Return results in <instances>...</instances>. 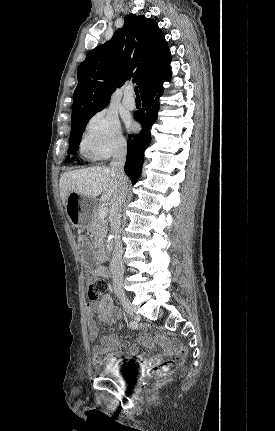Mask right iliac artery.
<instances>
[{
  "label": "right iliac artery",
  "instance_id": "82829eb1",
  "mask_svg": "<svg viewBox=\"0 0 275 431\" xmlns=\"http://www.w3.org/2000/svg\"><path fill=\"white\" fill-rule=\"evenodd\" d=\"M130 327H131L132 329H136V328L138 327V323H137L136 321H131V322H130Z\"/></svg>",
  "mask_w": 275,
  "mask_h": 431
}]
</instances>
